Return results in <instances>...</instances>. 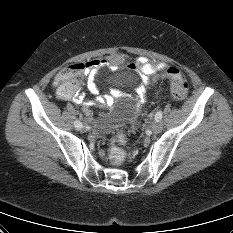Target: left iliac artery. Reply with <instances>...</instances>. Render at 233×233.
<instances>
[{"mask_svg":"<svg viewBox=\"0 0 233 233\" xmlns=\"http://www.w3.org/2000/svg\"><path fill=\"white\" fill-rule=\"evenodd\" d=\"M162 119V111H158L156 114H155V120L156 121H160Z\"/></svg>","mask_w":233,"mask_h":233,"instance_id":"obj_1","label":"left iliac artery"}]
</instances>
